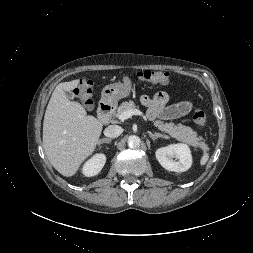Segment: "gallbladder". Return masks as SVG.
<instances>
[{
  "label": "gallbladder",
  "mask_w": 253,
  "mask_h": 253,
  "mask_svg": "<svg viewBox=\"0 0 253 253\" xmlns=\"http://www.w3.org/2000/svg\"><path fill=\"white\" fill-rule=\"evenodd\" d=\"M67 95L68 98L73 99L74 98V94L71 91H68L65 93Z\"/></svg>",
  "instance_id": "gallbladder-1"
}]
</instances>
